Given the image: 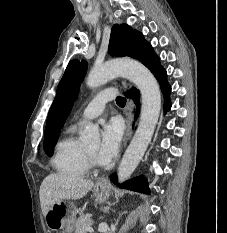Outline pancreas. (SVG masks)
I'll return each instance as SVG.
<instances>
[{"label": "pancreas", "mask_w": 227, "mask_h": 233, "mask_svg": "<svg viewBox=\"0 0 227 233\" xmlns=\"http://www.w3.org/2000/svg\"><path fill=\"white\" fill-rule=\"evenodd\" d=\"M92 225V220L87 215H81L75 222V233H86V228Z\"/></svg>", "instance_id": "cf45deb5"}]
</instances>
